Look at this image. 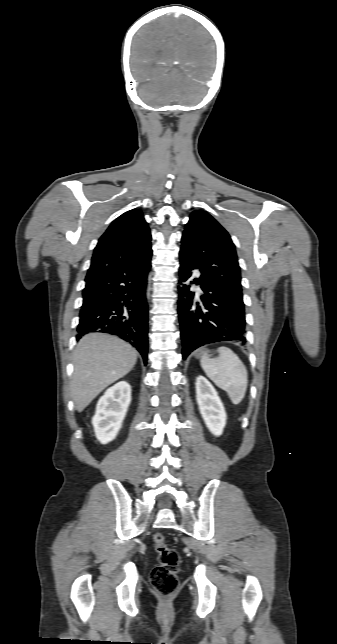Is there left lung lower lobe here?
Returning <instances> with one entry per match:
<instances>
[{"label":"left lung lower lobe","mask_w":337,"mask_h":644,"mask_svg":"<svg viewBox=\"0 0 337 644\" xmlns=\"http://www.w3.org/2000/svg\"><path fill=\"white\" fill-rule=\"evenodd\" d=\"M190 261L180 258L178 286V317L181 327L182 357L205 344L232 341L246 344L244 304L201 273L191 280ZM192 284L200 285V295L190 291Z\"/></svg>","instance_id":"0a47b994"}]
</instances>
